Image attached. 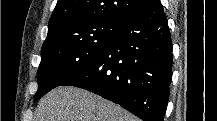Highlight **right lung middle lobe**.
<instances>
[{
  "label": "right lung middle lobe",
  "instance_id": "right-lung-middle-lobe-1",
  "mask_svg": "<svg viewBox=\"0 0 217 121\" xmlns=\"http://www.w3.org/2000/svg\"><path fill=\"white\" fill-rule=\"evenodd\" d=\"M122 23L102 20L81 24L43 45L34 100L95 61Z\"/></svg>",
  "mask_w": 217,
  "mask_h": 121
}]
</instances>
